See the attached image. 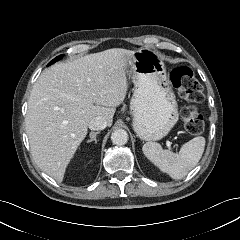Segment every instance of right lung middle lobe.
<instances>
[{
    "instance_id": "obj_1",
    "label": "right lung middle lobe",
    "mask_w": 240,
    "mask_h": 240,
    "mask_svg": "<svg viewBox=\"0 0 240 240\" xmlns=\"http://www.w3.org/2000/svg\"><path fill=\"white\" fill-rule=\"evenodd\" d=\"M63 55H60L58 57H56L55 59H53L48 65L53 64L54 62L58 61L60 58H62Z\"/></svg>"
}]
</instances>
